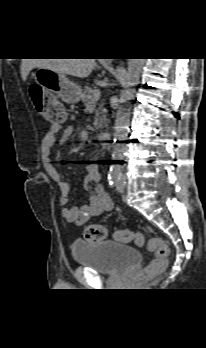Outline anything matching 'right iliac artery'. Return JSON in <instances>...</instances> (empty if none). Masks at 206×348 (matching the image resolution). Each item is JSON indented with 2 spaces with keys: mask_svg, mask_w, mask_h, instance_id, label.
Instances as JSON below:
<instances>
[{
  "mask_svg": "<svg viewBox=\"0 0 206 348\" xmlns=\"http://www.w3.org/2000/svg\"><path fill=\"white\" fill-rule=\"evenodd\" d=\"M121 178V171L120 168L118 167H114L113 169H111L110 173H109V185L111 187L116 186L117 182L120 180Z\"/></svg>",
  "mask_w": 206,
  "mask_h": 348,
  "instance_id": "obj_1",
  "label": "right iliac artery"
}]
</instances>
